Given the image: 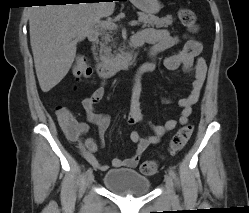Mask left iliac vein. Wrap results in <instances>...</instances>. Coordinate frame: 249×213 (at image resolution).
I'll return each mask as SVG.
<instances>
[{
	"label": "left iliac vein",
	"mask_w": 249,
	"mask_h": 213,
	"mask_svg": "<svg viewBox=\"0 0 249 213\" xmlns=\"http://www.w3.org/2000/svg\"><path fill=\"white\" fill-rule=\"evenodd\" d=\"M165 183H166V187L168 189V192L171 196L174 195V190H173V180L172 177L169 174L165 175Z\"/></svg>",
	"instance_id": "obj_1"
}]
</instances>
